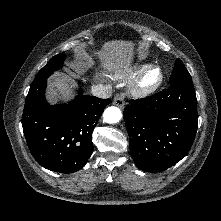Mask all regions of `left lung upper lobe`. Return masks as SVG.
I'll list each match as a JSON object with an SVG mask.
<instances>
[{"mask_svg": "<svg viewBox=\"0 0 221 221\" xmlns=\"http://www.w3.org/2000/svg\"><path fill=\"white\" fill-rule=\"evenodd\" d=\"M180 79H192L191 75L183 65V63L177 59L175 62V67L173 69V73L170 76L169 84L174 83L177 80Z\"/></svg>", "mask_w": 221, "mask_h": 221, "instance_id": "obj_1", "label": "left lung upper lobe"}]
</instances>
